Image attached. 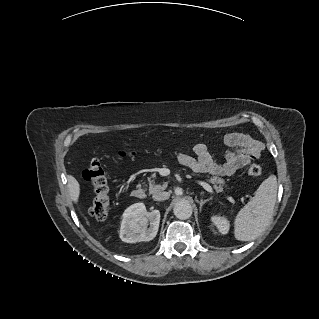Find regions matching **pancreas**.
Returning <instances> with one entry per match:
<instances>
[{
    "label": "pancreas",
    "mask_w": 319,
    "mask_h": 319,
    "mask_svg": "<svg viewBox=\"0 0 319 319\" xmlns=\"http://www.w3.org/2000/svg\"><path fill=\"white\" fill-rule=\"evenodd\" d=\"M208 181L212 184H214V187L217 191H222L223 190V186L225 185V180L221 177H217V176H212V177H208ZM167 188V183H164L163 185H157L155 184V180L153 178H150L149 180V192L155 193L158 191H162L165 190Z\"/></svg>",
    "instance_id": "obj_1"
}]
</instances>
